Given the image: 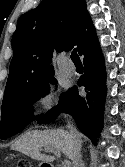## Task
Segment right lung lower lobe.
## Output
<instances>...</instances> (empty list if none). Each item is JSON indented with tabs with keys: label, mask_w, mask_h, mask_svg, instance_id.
<instances>
[{
	"label": "right lung lower lobe",
	"mask_w": 125,
	"mask_h": 167,
	"mask_svg": "<svg viewBox=\"0 0 125 167\" xmlns=\"http://www.w3.org/2000/svg\"><path fill=\"white\" fill-rule=\"evenodd\" d=\"M80 55L84 56V74L77 84L85 87L87 95H78L77 87H73L64 93L56 107L37 120L40 124L50 123L61 112L68 113L73 116L78 129L93 142H97L103 128L106 72L96 35L83 47Z\"/></svg>",
	"instance_id": "right-lung-lower-lobe-1"
}]
</instances>
